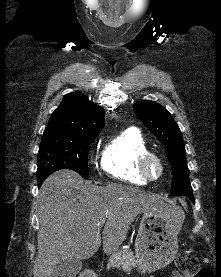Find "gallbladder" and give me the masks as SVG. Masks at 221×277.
Masks as SVG:
<instances>
[{"mask_svg":"<svg viewBox=\"0 0 221 277\" xmlns=\"http://www.w3.org/2000/svg\"><path fill=\"white\" fill-rule=\"evenodd\" d=\"M82 268L81 260L68 258L61 261L53 270L50 277H76Z\"/></svg>","mask_w":221,"mask_h":277,"instance_id":"gallbladder-1","label":"gallbladder"}]
</instances>
